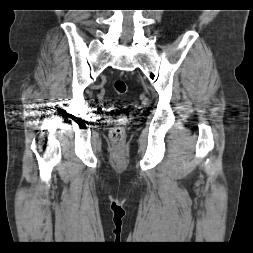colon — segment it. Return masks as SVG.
<instances>
[{
	"mask_svg": "<svg viewBox=\"0 0 253 253\" xmlns=\"http://www.w3.org/2000/svg\"><path fill=\"white\" fill-rule=\"evenodd\" d=\"M115 92L119 95L127 93L128 87L124 80H116L113 83ZM110 138L115 143H121L125 139V128L122 124L116 125L111 129Z\"/></svg>",
	"mask_w": 253,
	"mask_h": 253,
	"instance_id": "5ec220e1",
	"label": "colon"
}]
</instances>
